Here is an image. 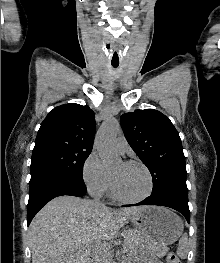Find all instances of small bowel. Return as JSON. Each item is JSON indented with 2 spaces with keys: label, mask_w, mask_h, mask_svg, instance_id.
Masks as SVG:
<instances>
[{
  "label": "small bowel",
  "mask_w": 220,
  "mask_h": 263,
  "mask_svg": "<svg viewBox=\"0 0 220 263\" xmlns=\"http://www.w3.org/2000/svg\"><path fill=\"white\" fill-rule=\"evenodd\" d=\"M146 263H161L160 261H158L155 258H150L149 260L146 261Z\"/></svg>",
  "instance_id": "1"
}]
</instances>
